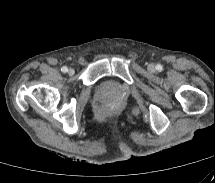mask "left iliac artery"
I'll list each match as a JSON object with an SVG mask.
<instances>
[{"instance_id": "left-iliac-artery-1", "label": "left iliac artery", "mask_w": 215, "mask_h": 183, "mask_svg": "<svg viewBox=\"0 0 215 183\" xmlns=\"http://www.w3.org/2000/svg\"><path fill=\"white\" fill-rule=\"evenodd\" d=\"M156 69L158 70V71H161L163 68H162V65H160V64H157L156 65Z\"/></svg>"}]
</instances>
